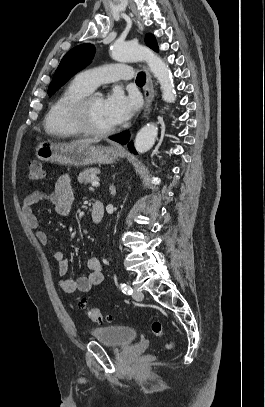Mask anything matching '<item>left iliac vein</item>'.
Masks as SVG:
<instances>
[{"label": "left iliac vein", "instance_id": "left-iliac-vein-1", "mask_svg": "<svg viewBox=\"0 0 265 407\" xmlns=\"http://www.w3.org/2000/svg\"><path fill=\"white\" fill-rule=\"evenodd\" d=\"M132 297H133V299H135L137 301H141V300H143L144 295L141 290L134 288Z\"/></svg>", "mask_w": 265, "mask_h": 407}]
</instances>
